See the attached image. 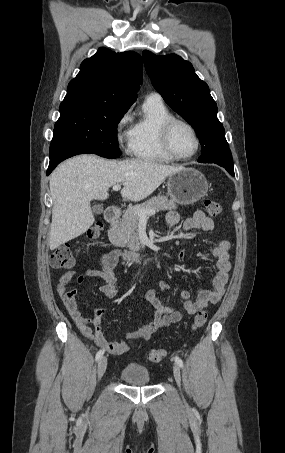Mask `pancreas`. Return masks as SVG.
<instances>
[{"label": "pancreas", "instance_id": "pancreas-1", "mask_svg": "<svg viewBox=\"0 0 285 453\" xmlns=\"http://www.w3.org/2000/svg\"><path fill=\"white\" fill-rule=\"evenodd\" d=\"M154 210H175L177 208L174 200L168 197L158 195L150 198L144 203L127 209L120 222L111 227V237L116 244L121 247L129 248L131 251H139L140 243L138 236V227L140 217L133 211L134 209Z\"/></svg>", "mask_w": 285, "mask_h": 453}]
</instances>
